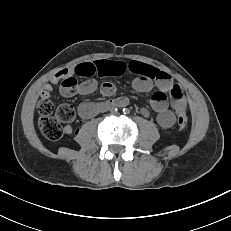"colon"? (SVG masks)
<instances>
[{
    "label": "colon",
    "instance_id": "1",
    "mask_svg": "<svg viewBox=\"0 0 231 231\" xmlns=\"http://www.w3.org/2000/svg\"><path fill=\"white\" fill-rule=\"evenodd\" d=\"M78 87L77 78L69 75L62 80L61 91L65 95L73 94ZM39 112L38 126L42 135L50 141H59L64 134L63 124L71 123L75 119V110L69 104H61L54 107L50 99L40 100L37 106ZM177 126L184 130L187 126L185 110L178 112Z\"/></svg>",
    "mask_w": 231,
    "mask_h": 231
}]
</instances>
